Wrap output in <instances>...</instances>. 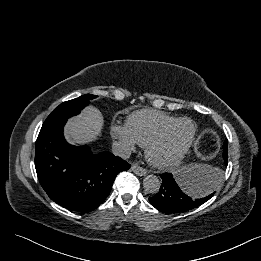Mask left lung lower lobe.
Returning <instances> with one entry per match:
<instances>
[{"mask_svg":"<svg viewBox=\"0 0 261 261\" xmlns=\"http://www.w3.org/2000/svg\"><path fill=\"white\" fill-rule=\"evenodd\" d=\"M227 154V151H223L226 164ZM160 176L162 186L156 195L149 198V201L156 209L165 213H181L205 203L215 192L211 191L203 196L199 194L212 189L218 178L217 173L202 178L190 176L182 178L171 173H163Z\"/></svg>","mask_w":261,"mask_h":261,"instance_id":"left-lung-lower-lobe-1","label":"left lung lower lobe"}]
</instances>
